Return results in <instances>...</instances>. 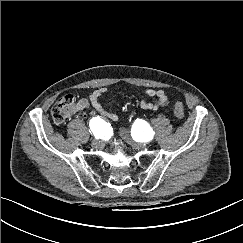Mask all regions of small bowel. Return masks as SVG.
<instances>
[{"mask_svg":"<svg viewBox=\"0 0 243 243\" xmlns=\"http://www.w3.org/2000/svg\"><path fill=\"white\" fill-rule=\"evenodd\" d=\"M107 92V88L102 87L95 90L91 95L87 98H83L76 103L73 113L81 112L84 110H88L89 108H94L101 116L115 120L116 115L111 112L101 101V97ZM145 94L149 97L156 98L155 102H149L145 99L140 101V107L143 110H158L160 108L166 107L169 104V99L166 93L160 89H147ZM106 133L109 134L110 130L106 127Z\"/></svg>","mask_w":243,"mask_h":243,"instance_id":"c3829d8e","label":"small bowel"}]
</instances>
